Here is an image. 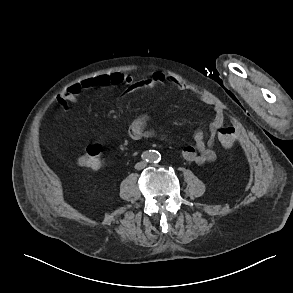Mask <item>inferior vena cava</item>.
<instances>
[{"instance_id":"inferior-vena-cava-1","label":"inferior vena cava","mask_w":293,"mask_h":293,"mask_svg":"<svg viewBox=\"0 0 293 293\" xmlns=\"http://www.w3.org/2000/svg\"><path fill=\"white\" fill-rule=\"evenodd\" d=\"M146 165H147V164H146V162H144V161L139 162V163H137V164L135 165V169L140 170V169L144 168Z\"/></svg>"}]
</instances>
